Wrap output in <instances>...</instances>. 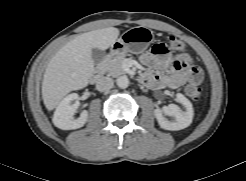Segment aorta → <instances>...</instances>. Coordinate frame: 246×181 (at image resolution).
I'll list each match as a JSON object with an SVG mask.
<instances>
[{"mask_svg":"<svg viewBox=\"0 0 246 181\" xmlns=\"http://www.w3.org/2000/svg\"><path fill=\"white\" fill-rule=\"evenodd\" d=\"M116 83L118 87L125 89L129 86L130 82L127 76H120L117 78Z\"/></svg>","mask_w":246,"mask_h":181,"instance_id":"762f6f07","label":"aorta"}]
</instances>
